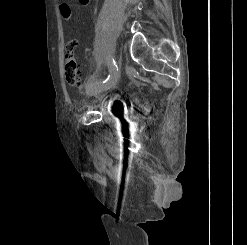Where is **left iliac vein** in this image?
<instances>
[{"instance_id": "4c4485c4", "label": "left iliac vein", "mask_w": 247, "mask_h": 245, "mask_svg": "<svg viewBox=\"0 0 247 245\" xmlns=\"http://www.w3.org/2000/svg\"><path fill=\"white\" fill-rule=\"evenodd\" d=\"M118 78H119V71H117L115 73V75L113 76L111 81L108 82V84H106V85H98V84L90 85L87 89V94L89 96H94V95L100 93L101 91L108 90V89L114 87L118 81Z\"/></svg>"}]
</instances>
